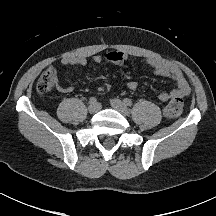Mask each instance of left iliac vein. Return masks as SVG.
Listing matches in <instances>:
<instances>
[{"label": "left iliac vein", "mask_w": 216, "mask_h": 216, "mask_svg": "<svg viewBox=\"0 0 216 216\" xmlns=\"http://www.w3.org/2000/svg\"><path fill=\"white\" fill-rule=\"evenodd\" d=\"M111 106L117 110L118 112H120L123 115H127L129 113V110L127 108V106L119 99H112L111 100Z\"/></svg>", "instance_id": "1"}]
</instances>
